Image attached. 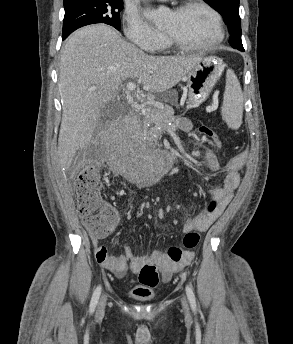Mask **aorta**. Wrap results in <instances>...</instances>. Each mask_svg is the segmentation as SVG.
I'll list each match as a JSON object with an SVG mask.
<instances>
[{
    "label": "aorta",
    "instance_id": "obj_1",
    "mask_svg": "<svg viewBox=\"0 0 293 344\" xmlns=\"http://www.w3.org/2000/svg\"><path fill=\"white\" fill-rule=\"evenodd\" d=\"M166 12L167 9L164 7L148 9L144 12V17L159 25L163 21ZM151 165L156 172H163L167 168V162L161 155H154L151 160Z\"/></svg>",
    "mask_w": 293,
    "mask_h": 344
}]
</instances>
